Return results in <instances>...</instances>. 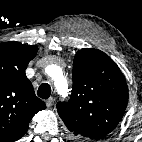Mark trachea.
Returning a JSON list of instances; mask_svg holds the SVG:
<instances>
[{
    "label": "trachea",
    "instance_id": "3493384b",
    "mask_svg": "<svg viewBox=\"0 0 142 142\" xmlns=\"http://www.w3.org/2000/svg\"><path fill=\"white\" fill-rule=\"evenodd\" d=\"M38 96L42 99H47L51 95V87L47 83H42L38 88Z\"/></svg>",
    "mask_w": 142,
    "mask_h": 142
}]
</instances>
